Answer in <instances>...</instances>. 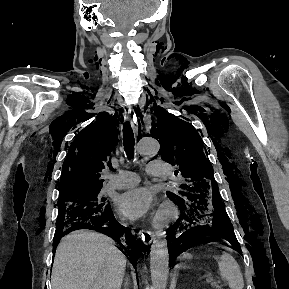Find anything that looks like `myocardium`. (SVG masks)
<instances>
[{"instance_id":"1","label":"myocardium","mask_w":289,"mask_h":289,"mask_svg":"<svg viewBox=\"0 0 289 289\" xmlns=\"http://www.w3.org/2000/svg\"><path fill=\"white\" fill-rule=\"evenodd\" d=\"M178 216L177 208L170 203H166L162 206L161 210L157 214L154 220L155 227H161L174 221Z\"/></svg>"}]
</instances>
